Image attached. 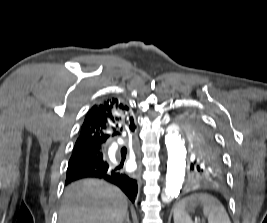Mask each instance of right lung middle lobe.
<instances>
[{
  "mask_svg": "<svg viewBox=\"0 0 267 223\" xmlns=\"http://www.w3.org/2000/svg\"><path fill=\"white\" fill-rule=\"evenodd\" d=\"M97 152L98 151H94L93 149L88 148V147H82V148L74 149L72 156L69 160V163L76 161L78 159H81L83 157H86V156H91Z\"/></svg>",
  "mask_w": 267,
  "mask_h": 223,
  "instance_id": "right-lung-middle-lobe-1",
  "label": "right lung middle lobe"
}]
</instances>
